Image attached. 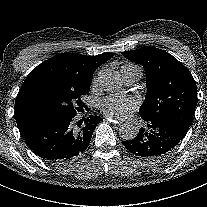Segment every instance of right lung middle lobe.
I'll list each match as a JSON object with an SVG mask.
<instances>
[{"instance_id":"obj_1","label":"right lung middle lobe","mask_w":207,"mask_h":207,"mask_svg":"<svg viewBox=\"0 0 207 207\" xmlns=\"http://www.w3.org/2000/svg\"><path fill=\"white\" fill-rule=\"evenodd\" d=\"M82 95L46 84L29 87L22 95L21 105L33 121L68 119L77 112L88 110L81 100Z\"/></svg>"}]
</instances>
